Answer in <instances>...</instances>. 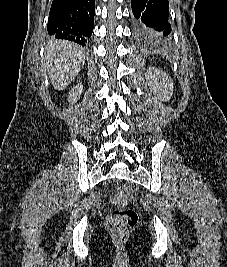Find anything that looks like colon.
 Here are the masks:
<instances>
[{
	"label": "colon",
	"instance_id": "obj_1",
	"mask_svg": "<svg viewBox=\"0 0 227 267\" xmlns=\"http://www.w3.org/2000/svg\"><path fill=\"white\" fill-rule=\"evenodd\" d=\"M131 197L130 188L125 184L118 185L113 194L112 202L119 206L111 211L105 219V228L114 241L122 243L127 240L132 228L136 225L138 214L125 205Z\"/></svg>",
	"mask_w": 227,
	"mask_h": 267
}]
</instances>
